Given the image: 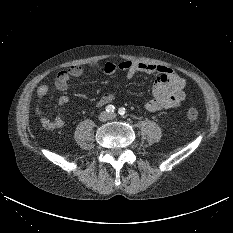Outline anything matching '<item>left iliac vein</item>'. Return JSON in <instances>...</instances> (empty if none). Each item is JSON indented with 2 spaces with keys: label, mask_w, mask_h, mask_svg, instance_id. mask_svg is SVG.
Instances as JSON below:
<instances>
[{
  "label": "left iliac vein",
  "mask_w": 233,
  "mask_h": 233,
  "mask_svg": "<svg viewBox=\"0 0 233 233\" xmlns=\"http://www.w3.org/2000/svg\"><path fill=\"white\" fill-rule=\"evenodd\" d=\"M110 118H111V119L116 118V114H115V113H111V114H110Z\"/></svg>",
  "instance_id": "obj_1"
}]
</instances>
